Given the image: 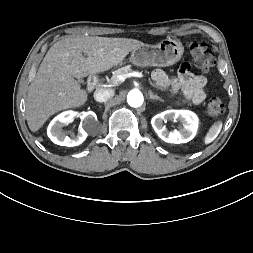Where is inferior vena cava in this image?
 Masks as SVG:
<instances>
[{
    "label": "inferior vena cava",
    "instance_id": "602c4592",
    "mask_svg": "<svg viewBox=\"0 0 253 253\" xmlns=\"http://www.w3.org/2000/svg\"><path fill=\"white\" fill-rule=\"evenodd\" d=\"M114 91L112 89H97L94 92V99L97 102H106L108 99L114 96Z\"/></svg>",
    "mask_w": 253,
    "mask_h": 253
}]
</instances>
